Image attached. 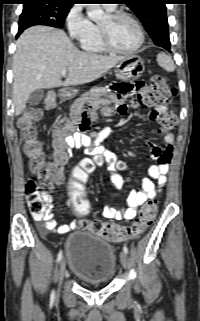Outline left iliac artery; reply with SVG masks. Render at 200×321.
<instances>
[{
	"mask_svg": "<svg viewBox=\"0 0 200 321\" xmlns=\"http://www.w3.org/2000/svg\"><path fill=\"white\" fill-rule=\"evenodd\" d=\"M123 251L127 254L128 253V248H127V246H124L123 247Z\"/></svg>",
	"mask_w": 200,
	"mask_h": 321,
	"instance_id": "44dca946",
	"label": "left iliac artery"
}]
</instances>
